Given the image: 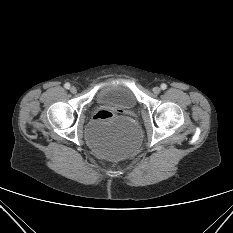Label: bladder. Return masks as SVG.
<instances>
[{
    "label": "bladder",
    "instance_id": "obj_1",
    "mask_svg": "<svg viewBox=\"0 0 233 233\" xmlns=\"http://www.w3.org/2000/svg\"><path fill=\"white\" fill-rule=\"evenodd\" d=\"M97 102L124 110L133 109L138 104L134 91L123 83L105 85L98 93ZM86 138L96 155L108 160H118L136 153L141 132L133 120L126 119L103 127L90 128Z\"/></svg>",
    "mask_w": 233,
    "mask_h": 233
}]
</instances>
